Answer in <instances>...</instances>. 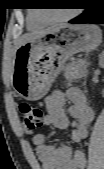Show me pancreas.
Wrapping results in <instances>:
<instances>
[{
	"instance_id": "1",
	"label": "pancreas",
	"mask_w": 104,
	"mask_h": 169,
	"mask_svg": "<svg viewBox=\"0 0 104 169\" xmlns=\"http://www.w3.org/2000/svg\"><path fill=\"white\" fill-rule=\"evenodd\" d=\"M87 63L82 60H75L69 63L64 70V76L68 80L82 78L87 73Z\"/></svg>"
}]
</instances>
